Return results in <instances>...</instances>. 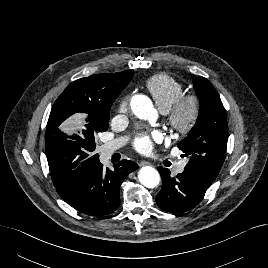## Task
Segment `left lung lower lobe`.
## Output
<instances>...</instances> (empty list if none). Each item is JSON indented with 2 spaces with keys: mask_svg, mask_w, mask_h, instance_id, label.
Returning <instances> with one entry per match:
<instances>
[{
  "mask_svg": "<svg viewBox=\"0 0 268 268\" xmlns=\"http://www.w3.org/2000/svg\"><path fill=\"white\" fill-rule=\"evenodd\" d=\"M157 169L162 178V189L156 202L162 210L169 212H185L198 205L213 182L186 168L176 177H172L166 168Z\"/></svg>",
  "mask_w": 268,
  "mask_h": 268,
  "instance_id": "0a47b994",
  "label": "left lung lower lobe"
}]
</instances>
